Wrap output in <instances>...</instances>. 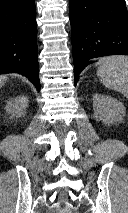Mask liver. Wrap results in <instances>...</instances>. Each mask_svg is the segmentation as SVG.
<instances>
[{
	"instance_id": "6515ba94",
	"label": "liver",
	"mask_w": 128,
	"mask_h": 213,
	"mask_svg": "<svg viewBox=\"0 0 128 213\" xmlns=\"http://www.w3.org/2000/svg\"><path fill=\"white\" fill-rule=\"evenodd\" d=\"M7 77L6 76H0V88L3 85V82L6 81Z\"/></svg>"
}]
</instances>
